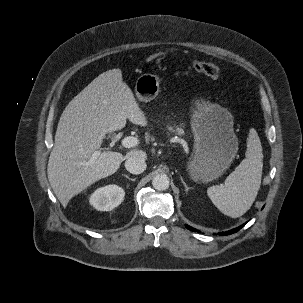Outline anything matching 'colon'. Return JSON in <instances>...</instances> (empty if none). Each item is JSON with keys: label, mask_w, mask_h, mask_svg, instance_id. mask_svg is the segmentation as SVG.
Here are the masks:
<instances>
[{"label": "colon", "mask_w": 303, "mask_h": 303, "mask_svg": "<svg viewBox=\"0 0 303 303\" xmlns=\"http://www.w3.org/2000/svg\"><path fill=\"white\" fill-rule=\"evenodd\" d=\"M163 56V52H156L149 56L148 61L150 63L156 62ZM193 68L196 72L204 74L212 79H218L220 77V69L216 65L204 61H194Z\"/></svg>", "instance_id": "1"}]
</instances>
